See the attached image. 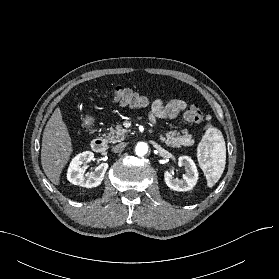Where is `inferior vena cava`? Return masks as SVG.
<instances>
[{"instance_id":"obj_1","label":"inferior vena cava","mask_w":279,"mask_h":279,"mask_svg":"<svg viewBox=\"0 0 279 279\" xmlns=\"http://www.w3.org/2000/svg\"><path fill=\"white\" fill-rule=\"evenodd\" d=\"M125 146H126L125 143L117 144V145L113 146L112 151L115 153H120L124 150Z\"/></svg>"}]
</instances>
